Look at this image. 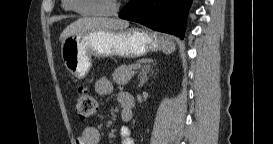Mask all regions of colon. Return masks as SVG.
Returning <instances> with one entry per match:
<instances>
[{"instance_id":"1","label":"colon","mask_w":273,"mask_h":144,"mask_svg":"<svg viewBox=\"0 0 273 144\" xmlns=\"http://www.w3.org/2000/svg\"><path fill=\"white\" fill-rule=\"evenodd\" d=\"M97 110V100L93 91L85 86L78 88L77 93V104H76V113L82 118L86 119Z\"/></svg>"}]
</instances>
